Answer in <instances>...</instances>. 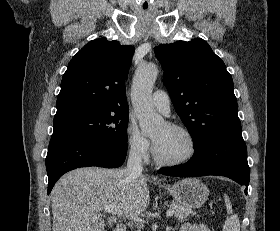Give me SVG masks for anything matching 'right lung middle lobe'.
<instances>
[{
	"mask_svg": "<svg viewBox=\"0 0 280 231\" xmlns=\"http://www.w3.org/2000/svg\"><path fill=\"white\" fill-rule=\"evenodd\" d=\"M128 119L129 112H108L54 121L52 136L76 135L126 149Z\"/></svg>",
	"mask_w": 280,
	"mask_h": 231,
	"instance_id": "dd1d6c3e",
	"label": "right lung middle lobe"
}]
</instances>
